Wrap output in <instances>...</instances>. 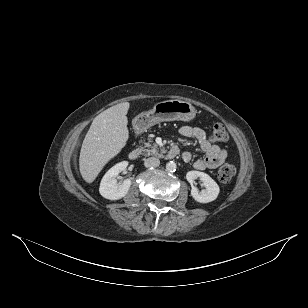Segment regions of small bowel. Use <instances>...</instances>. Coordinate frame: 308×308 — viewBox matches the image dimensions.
<instances>
[{
  "label": "small bowel",
  "instance_id": "1",
  "mask_svg": "<svg viewBox=\"0 0 308 308\" xmlns=\"http://www.w3.org/2000/svg\"><path fill=\"white\" fill-rule=\"evenodd\" d=\"M179 132L183 137L196 140L205 154L204 157L194 161L193 166L195 169L201 171L205 169H215L225 161L227 157L226 150L218 145L212 144L207 139L203 129L185 125L180 128ZM182 158L187 163L191 162L193 159L190 152H184Z\"/></svg>",
  "mask_w": 308,
  "mask_h": 308
}]
</instances>
